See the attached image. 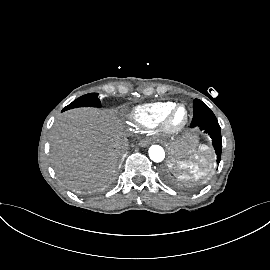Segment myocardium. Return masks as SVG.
<instances>
[{"mask_svg": "<svg viewBox=\"0 0 270 270\" xmlns=\"http://www.w3.org/2000/svg\"><path fill=\"white\" fill-rule=\"evenodd\" d=\"M179 109L184 110L185 116L181 123L175 124L174 116ZM189 119H190V112L187 106H185L184 104H175L166 114L162 122V127L166 133L171 134V135H176V134L181 133L186 128V126L188 125Z\"/></svg>", "mask_w": 270, "mask_h": 270, "instance_id": "myocardium-1", "label": "myocardium"}]
</instances>
